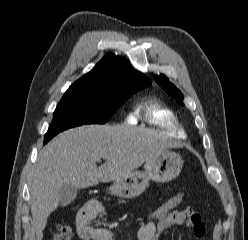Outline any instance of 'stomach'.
<instances>
[{
  "mask_svg": "<svg viewBox=\"0 0 248 240\" xmlns=\"http://www.w3.org/2000/svg\"><path fill=\"white\" fill-rule=\"evenodd\" d=\"M182 166L183 160L178 153L163 151L146 161L144 171H134L127 177L114 181L109 191L120 198H135L146 190L150 180L168 182L175 179Z\"/></svg>",
  "mask_w": 248,
  "mask_h": 240,
  "instance_id": "1",
  "label": "stomach"
}]
</instances>
